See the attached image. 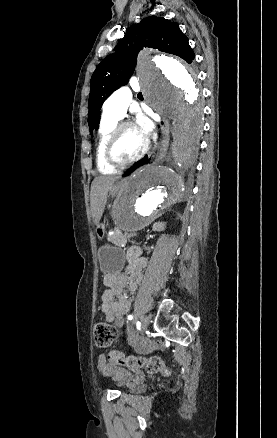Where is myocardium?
I'll return each mask as SVG.
<instances>
[{"instance_id":"myocardium-1","label":"myocardium","mask_w":277,"mask_h":438,"mask_svg":"<svg viewBox=\"0 0 277 438\" xmlns=\"http://www.w3.org/2000/svg\"><path fill=\"white\" fill-rule=\"evenodd\" d=\"M132 127L136 129L135 125L129 121H122L116 124L114 129L112 130L109 139L107 141L105 147V160L106 162L114 168H125L133 165L137 161H139L146 153L147 150V142L144 141L143 148L140 153L132 159L129 160H120L115 155V149L120 138L121 133L124 129Z\"/></svg>"}]
</instances>
